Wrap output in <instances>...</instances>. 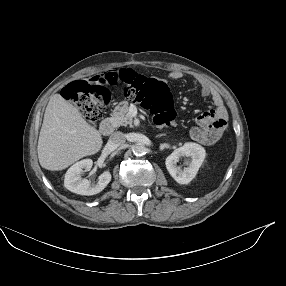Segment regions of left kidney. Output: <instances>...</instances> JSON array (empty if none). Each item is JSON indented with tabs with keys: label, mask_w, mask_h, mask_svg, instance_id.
Masks as SVG:
<instances>
[{
	"label": "left kidney",
	"mask_w": 286,
	"mask_h": 286,
	"mask_svg": "<svg viewBox=\"0 0 286 286\" xmlns=\"http://www.w3.org/2000/svg\"><path fill=\"white\" fill-rule=\"evenodd\" d=\"M206 156L205 149L196 143H185L182 147L175 149L165 161L166 168L170 175L179 184H188L192 181ZM181 157H190L186 161L187 167L182 169L177 165Z\"/></svg>",
	"instance_id": "obj_1"
}]
</instances>
